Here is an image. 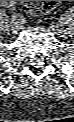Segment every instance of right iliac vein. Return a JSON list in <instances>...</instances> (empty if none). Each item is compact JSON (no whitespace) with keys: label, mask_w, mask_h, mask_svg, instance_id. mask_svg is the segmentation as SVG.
I'll return each mask as SVG.
<instances>
[{"label":"right iliac vein","mask_w":74,"mask_h":122,"mask_svg":"<svg viewBox=\"0 0 74 122\" xmlns=\"http://www.w3.org/2000/svg\"><path fill=\"white\" fill-rule=\"evenodd\" d=\"M12 24L15 25V26L12 27V31H13L14 33H16V32L19 30V27H18V25H16V23H14V22H12Z\"/></svg>","instance_id":"right-iliac-vein-1"}]
</instances>
